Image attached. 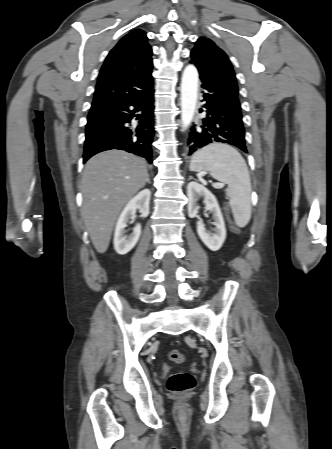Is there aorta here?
Listing matches in <instances>:
<instances>
[{"label": "aorta", "mask_w": 332, "mask_h": 449, "mask_svg": "<svg viewBox=\"0 0 332 449\" xmlns=\"http://www.w3.org/2000/svg\"><path fill=\"white\" fill-rule=\"evenodd\" d=\"M198 93V71L194 65H188L181 80V122L188 128L194 117Z\"/></svg>", "instance_id": "aorta-1"}]
</instances>
